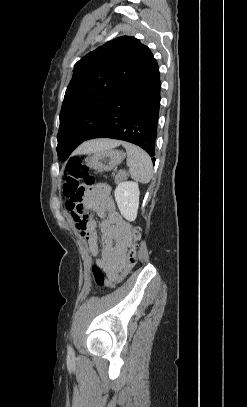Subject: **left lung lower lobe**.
<instances>
[{"instance_id": "1", "label": "left lung lower lobe", "mask_w": 247, "mask_h": 407, "mask_svg": "<svg viewBox=\"0 0 247 407\" xmlns=\"http://www.w3.org/2000/svg\"><path fill=\"white\" fill-rule=\"evenodd\" d=\"M160 75L153 57L108 106L86 140L112 138L143 148L155 162V139L160 107Z\"/></svg>"}]
</instances>
